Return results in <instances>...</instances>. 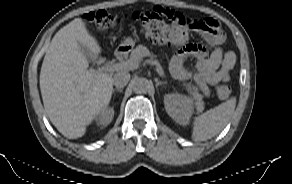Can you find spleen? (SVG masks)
<instances>
[{
	"label": "spleen",
	"mask_w": 292,
	"mask_h": 184,
	"mask_svg": "<svg viewBox=\"0 0 292 184\" xmlns=\"http://www.w3.org/2000/svg\"><path fill=\"white\" fill-rule=\"evenodd\" d=\"M236 107V98L232 97L213 109L194 117L192 139L205 141L217 135L229 122Z\"/></svg>",
	"instance_id": "obj_1"
}]
</instances>
